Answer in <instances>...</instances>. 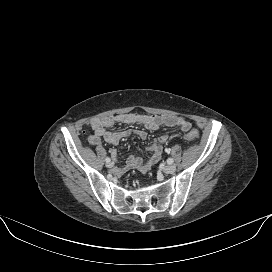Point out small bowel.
<instances>
[{
	"label": "small bowel",
	"instance_id": "obj_1",
	"mask_svg": "<svg viewBox=\"0 0 272 272\" xmlns=\"http://www.w3.org/2000/svg\"><path fill=\"white\" fill-rule=\"evenodd\" d=\"M116 123L140 125L149 130H157L161 126L179 127L182 131H188L191 124L184 117L176 115H143L136 113H125L114 116H106L102 118H94L90 125L93 133L89 136V142L93 145H99L102 140L109 144L117 145L119 141L129 135H137L141 139H145L147 134L141 130L125 131V132H111L106 129ZM168 140L167 135H161L149 147L150 157L146 160L131 155L127 158L122 167L117 168V172H124L129 169H138L141 172L148 171L155 163H157L162 156L163 144ZM112 156L116 157V152L112 151Z\"/></svg>",
	"mask_w": 272,
	"mask_h": 272
}]
</instances>
